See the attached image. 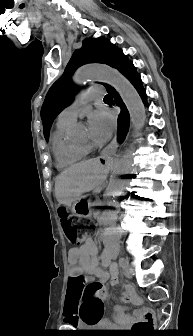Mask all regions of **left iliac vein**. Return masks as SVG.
<instances>
[{"label":"left iliac vein","mask_w":193,"mask_h":336,"mask_svg":"<svg viewBox=\"0 0 193 336\" xmlns=\"http://www.w3.org/2000/svg\"><path fill=\"white\" fill-rule=\"evenodd\" d=\"M119 265L121 266L124 274L127 276V277H131V274H132V270L130 268V265L128 263V261L125 259V258H120L119 260Z\"/></svg>","instance_id":"4c4485c4"}]
</instances>
